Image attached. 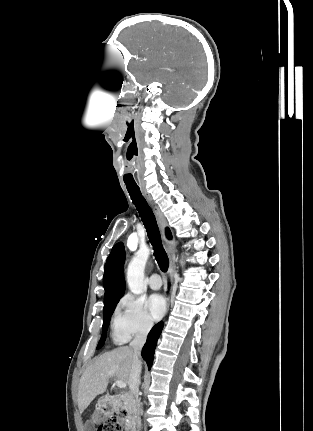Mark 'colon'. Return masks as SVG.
<instances>
[{
    "mask_svg": "<svg viewBox=\"0 0 313 431\" xmlns=\"http://www.w3.org/2000/svg\"><path fill=\"white\" fill-rule=\"evenodd\" d=\"M127 413L124 410L119 411L117 414L112 415L104 422L98 431H128L127 430Z\"/></svg>",
    "mask_w": 313,
    "mask_h": 431,
    "instance_id": "colon-1",
    "label": "colon"
}]
</instances>
